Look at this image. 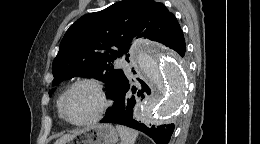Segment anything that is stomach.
I'll use <instances>...</instances> for the list:
<instances>
[{
    "label": "stomach",
    "instance_id": "obj_1",
    "mask_svg": "<svg viewBox=\"0 0 260 144\" xmlns=\"http://www.w3.org/2000/svg\"><path fill=\"white\" fill-rule=\"evenodd\" d=\"M118 134L111 124H97L81 130L68 144H116Z\"/></svg>",
    "mask_w": 260,
    "mask_h": 144
}]
</instances>
